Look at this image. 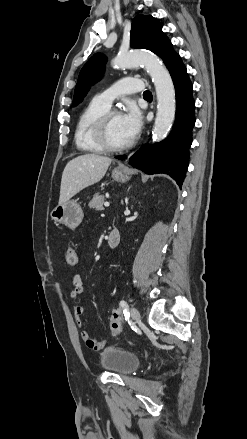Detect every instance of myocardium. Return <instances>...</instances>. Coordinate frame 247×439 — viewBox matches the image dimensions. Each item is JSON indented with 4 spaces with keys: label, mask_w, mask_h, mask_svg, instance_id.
<instances>
[{
    "label": "myocardium",
    "mask_w": 247,
    "mask_h": 439,
    "mask_svg": "<svg viewBox=\"0 0 247 439\" xmlns=\"http://www.w3.org/2000/svg\"><path fill=\"white\" fill-rule=\"evenodd\" d=\"M114 114H119L117 111L114 110H108L106 113H104L97 121L95 125V139L99 146L104 150L108 152H120L124 151L128 148H130L133 145V141L130 140L125 144L122 145H113L109 140V121L111 117Z\"/></svg>",
    "instance_id": "1"
}]
</instances>
